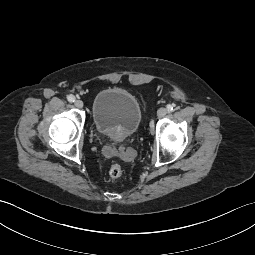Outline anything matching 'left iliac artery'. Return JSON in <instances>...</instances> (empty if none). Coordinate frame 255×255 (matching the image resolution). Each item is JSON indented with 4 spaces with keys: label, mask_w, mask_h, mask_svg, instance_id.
I'll return each instance as SVG.
<instances>
[{
    "label": "left iliac artery",
    "mask_w": 255,
    "mask_h": 255,
    "mask_svg": "<svg viewBox=\"0 0 255 255\" xmlns=\"http://www.w3.org/2000/svg\"><path fill=\"white\" fill-rule=\"evenodd\" d=\"M174 107H175V105H171V104H168L167 106H166V108H167V110L168 111H172L173 109H174Z\"/></svg>",
    "instance_id": "44dca946"
}]
</instances>
